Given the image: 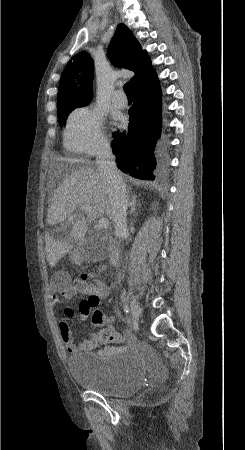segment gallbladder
Returning <instances> with one entry per match:
<instances>
[{
	"mask_svg": "<svg viewBox=\"0 0 245 450\" xmlns=\"http://www.w3.org/2000/svg\"><path fill=\"white\" fill-rule=\"evenodd\" d=\"M85 255L88 259H101L103 256H105V253L103 254L102 249L99 245H92L89 244L85 248Z\"/></svg>",
	"mask_w": 245,
	"mask_h": 450,
	"instance_id": "obj_1",
	"label": "gallbladder"
}]
</instances>
